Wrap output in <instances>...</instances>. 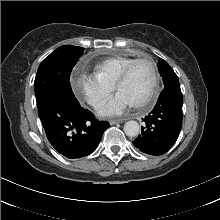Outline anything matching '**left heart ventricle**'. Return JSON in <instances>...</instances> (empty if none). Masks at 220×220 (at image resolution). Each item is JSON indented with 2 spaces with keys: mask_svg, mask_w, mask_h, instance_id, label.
<instances>
[{
  "mask_svg": "<svg viewBox=\"0 0 220 220\" xmlns=\"http://www.w3.org/2000/svg\"><path fill=\"white\" fill-rule=\"evenodd\" d=\"M152 83V73L148 62L138 63L129 78L118 89L125 94L133 104L143 101L149 94Z\"/></svg>",
  "mask_w": 220,
  "mask_h": 220,
  "instance_id": "left-heart-ventricle-1",
  "label": "left heart ventricle"
}]
</instances>
